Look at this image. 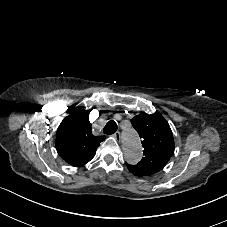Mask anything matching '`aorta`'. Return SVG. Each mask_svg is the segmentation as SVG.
<instances>
[{
	"label": "aorta",
	"instance_id": "762f6f07",
	"mask_svg": "<svg viewBox=\"0 0 227 227\" xmlns=\"http://www.w3.org/2000/svg\"><path fill=\"white\" fill-rule=\"evenodd\" d=\"M123 151L126 160L135 164L142 158V148L140 144V138L135 130L127 129L122 135Z\"/></svg>",
	"mask_w": 227,
	"mask_h": 227
}]
</instances>
